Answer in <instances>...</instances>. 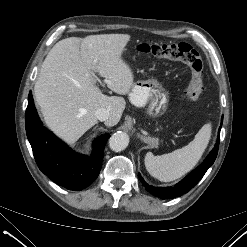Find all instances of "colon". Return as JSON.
I'll return each instance as SVG.
<instances>
[{
  "instance_id": "colon-1",
  "label": "colon",
  "mask_w": 247,
  "mask_h": 247,
  "mask_svg": "<svg viewBox=\"0 0 247 247\" xmlns=\"http://www.w3.org/2000/svg\"><path fill=\"white\" fill-rule=\"evenodd\" d=\"M140 53L148 54L156 58L179 60L187 64L191 69V79L184 99L188 102L199 100L203 92V63L199 53L187 43L176 44H152L142 43L137 46Z\"/></svg>"
}]
</instances>
